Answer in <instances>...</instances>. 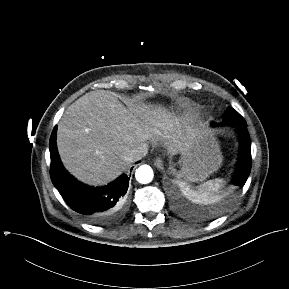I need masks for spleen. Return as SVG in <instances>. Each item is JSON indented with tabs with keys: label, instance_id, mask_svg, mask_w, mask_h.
Returning <instances> with one entry per match:
<instances>
[{
	"label": "spleen",
	"instance_id": "1",
	"mask_svg": "<svg viewBox=\"0 0 289 289\" xmlns=\"http://www.w3.org/2000/svg\"><path fill=\"white\" fill-rule=\"evenodd\" d=\"M224 185V180L222 178H216L213 180H209L205 182L201 187L200 190L205 193H214L218 192L219 189Z\"/></svg>",
	"mask_w": 289,
	"mask_h": 289
}]
</instances>
